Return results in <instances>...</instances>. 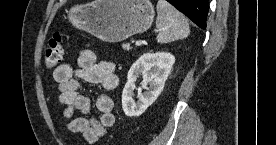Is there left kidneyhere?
Wrapping results in <instances>:
<instances>
[{
  "label": "left kidney",
  "instance_id": "left-kidney-1",
  "mask_svg": "<svg viewBox=\"0 0 276 145\" xmlns=\"http://www.w3.org/2000/svg\"><path fill=\"white\" fill-rule=\"evenodd\" d=\"M174 62L175 57L167 52L145 53L131 66L122 93V108L127 116H140L154 103L164 88ZM139 74L143 76V81L142 88L138 89V101L135 102V81ZM142 89L147 91L142 93Z\"/></svg>",
  "mask_w": 276,
  "mask_h": 145
}]
</instances>
